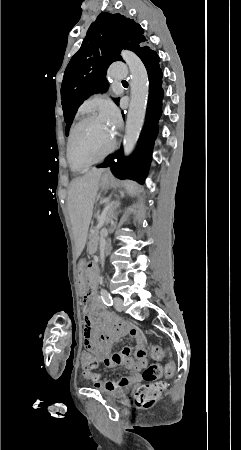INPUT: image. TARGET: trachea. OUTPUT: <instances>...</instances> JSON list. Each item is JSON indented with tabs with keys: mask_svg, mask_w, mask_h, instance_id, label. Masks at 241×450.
Listing matches in <instances>:
<instances>
[{
	"mask_svg": "<svg viewBox=\"0 0 241 450\" xmlns=\"http://www.w3.org/2000/svg\"><path fill=\"white\" fill-rule=\"evenodd\" d=\"M122 82H126V80H122Z\"/></svg>",
	"mask_w": 241,
	"mask_h": 450,
	"instance_id": "trachea-1",
	"label": "trachea"
}]
</instances>
